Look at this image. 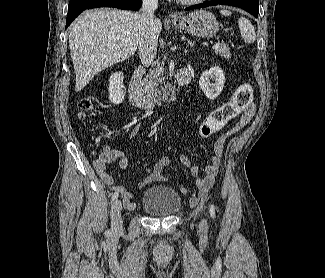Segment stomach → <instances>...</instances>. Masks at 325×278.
Returning a JSON list of instances; mask_svg holds the SVG:
<instances>
[{
    "label": "stomach",
    "instance_id": "1",
    "mask_svg": "<svg viewBox=\"0 0 325 278\" xmlns=\"http://www.w3.org/2000/svg\"><path fill=\"white\" fill-rule=\"evenodd\" d=\"M175 27L198 37H213L219 31L216 17L209 11L198 10L173 21Z\"/></svg>",
    "mask_w": 325,
    "mask_h": 278
}]
</instances>
